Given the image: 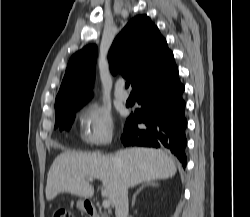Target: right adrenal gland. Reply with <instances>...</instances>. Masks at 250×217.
<instances>
[{
    "mask_svg": "<svg viewBox=\"0 0 250 217\" xmlns=\"http://www.w3.org/2000/svg\"><path fill=\"white\" fill-rule=\"evenodd\" d=\"M145 186H158V184L155 183V182H148V183L142 185V186L134 193V195H133L132 203H131V206H132V207H133L134 204H135V200H136L137 195L142 191V189H143Z\"/></svg>",
    "mask_w": 250,
    "mask_h": 217,
    "instance_id": "right-adrenal-gland-1",
    "label": "right adrenal gland"
}]
</instances>
